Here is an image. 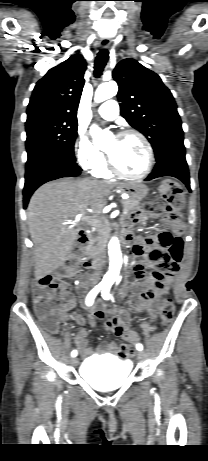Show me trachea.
<instances>
[{
  "label": "trachea",
  "instance_id": "3493384b",
  "mask_svg": "<svg viewBox=\"0 0 208 461\" xmlns=\"http://www.w3.org/2000/svg\"><path fill=\"white\" fill-rule=\"evenodd\" d=\"M107 60H108V50L107 49L100 50L95 60V66H94L95 78H99L101 76L103 69L107 63Z\"/></svg>",
  "mask_w": 208,
  "mask_h": 461
}]
</instances>
